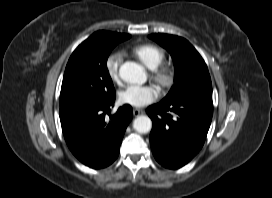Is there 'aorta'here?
Instances as JSON below:
<instances>
[{"instance_id": "aorta-1", "label": "aorta", "mask_w": 272, "mask_h": 198, "mask_svg": "<svg viewBox=\"0 0 272 198\" xmlns=\"http://www.w3.org/2000/svg\"><path fill=\"white\" fill-rule=\"evenodd\" d=\"M119 76L125 82L136 84H143L147 79L145 69L141 65L130 61H127L120 66ZM133 128L138 133H148L152 128V121L148 116H138L133 121Z\"/></svg>"}]
</instances>
